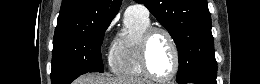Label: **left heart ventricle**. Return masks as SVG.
Instances as JSON below:
<instances>
[{"label":"left heart ventricle","instance_id":"left-heart-ventricle-1","mask_svg":"<svg viewBox=\"0 0 260 84\" xmlns=\"http://www.w3.org/2000/svg\"><path fill=\"white\" fill-rule=\"evenodd\" d=\"M149 65L154 74L167 77L174 67V54L170 41L162 33H156L149 45Z\"/></svg>","mask_w":260,"mask_h":84}]
</instances>
